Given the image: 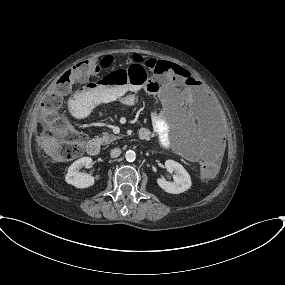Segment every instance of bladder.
Segmentation results:
<instances>
[{
	"label": "bladder",
	"instance_id": "obj_1",
	"mask_svg": "<svg viewBox=\"0 0 285 285\" xmlns=\"http://www.w3.org/2000/svg\"><path fill=\"white\" fill-rule=\"evenodd\" d=\"M177 152L182 156H188L190 153V148L184 143H181L176 146Z\"/></svg>",
	"mask_w": 285,
	"mask_h": 285
}]
</instances>
